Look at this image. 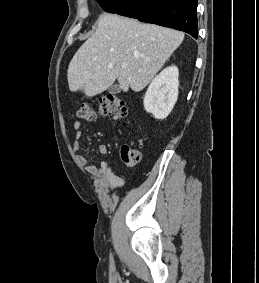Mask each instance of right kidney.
Segmentation results:
<instances>
[{
  "mask_svg": "<svg viewBox=\"0 0 259 283\" xmlns=\"http://www.w3.org/2000/svg\"><path fill=\"white\" fill-rule=\"evenodd\" d=\"M178 68L173 65L163 69L150 83L145 97L144 109L155 119H165L178 98Z\"/></svg>",
  "mask_w": 259,
  "mask_h": 283,
  "instance_id": "ca27d5eb",
  "label": "right kidney"
}]
</instances>
